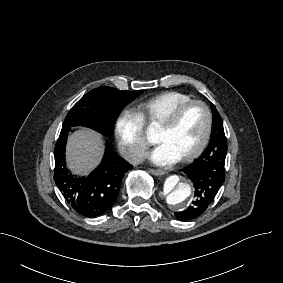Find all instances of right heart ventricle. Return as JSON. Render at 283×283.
<instances>
[{
    "label": "right heart ventricle",
    "instance_id": "1",
    "mask_svg": "<svg viewBox=\"0 0 283 283\" xmlns=\"http://www.w3.org/2000/svg\"><path fill=\"white\" fill-rule=\"evenodd\" d=\"M191 99L186 93L169 91L139 102L134 111L143 122L157 126L171 109Z\"/></svg>",
    "mask_w": 283,
    "mask_h": 283
}]
</instances>
